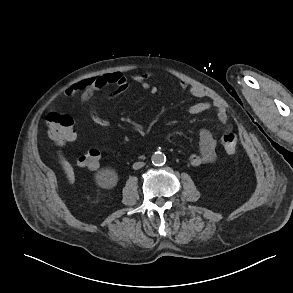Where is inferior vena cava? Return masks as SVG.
Here are the masks:
<instances>
[{
    "label": "inferior vena cava",
    "mask_w": 293,
    "mask_h": 293,
    "mask_svg": "<svg viewBox=\"0 0 293 293\" xmlns=\"http://www.w3.org/2000/svg\"><path fill=\"white\" fill-rule=\"evenodd\" d=\"M144 165H145L144 162H135V163L133 164V169H135V170L140 169V168H142Z\"/></svg>",
    "instance_id": "1"
}]
</instances>
